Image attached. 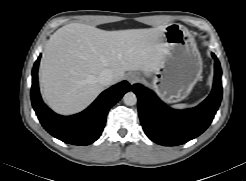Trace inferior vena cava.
Listing matches in <instances>:
<instances>
[{
	"instance_id": "inferior-vena-cava-1",
	"label": "inferior vena cava",
	"mask_w": 246,
	"mask_h": 181,
	"mask_svg": "<svg viewBox=\"0 0 246 181\" xmlns=\"http://www.w3.org/2000/svg\"><path fill=\"white\" fill-rule=\"evenodd\" d=\"M113 72L110 69H104L98 76V82L107 86L113 83Z\"/></svg>"
}]
</instances>
